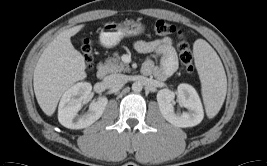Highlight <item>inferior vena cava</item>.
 Wrapping results in <instances>:
<instances>
[{
  "instance_id": "1",
  "label": "inferior vena cava",
  "mask_w": 267,
  "mask_h": 166,
  "mask_svg": "<svg viewBox=\"0 0 267 166\" xmlns=\"http://www.w3.org/2000/svg\"><path fill=\"white\" fill-rule=\"evenodd\" d=\"M127 77L123 74H111L104 78V84L107 88H118L126 84Z\"/></svg>"
}]
</instances>
